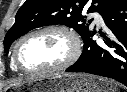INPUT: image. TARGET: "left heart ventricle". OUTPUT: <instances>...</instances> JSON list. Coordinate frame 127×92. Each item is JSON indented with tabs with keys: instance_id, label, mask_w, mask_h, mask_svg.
Here are the masks:
<instances>
[{
	"instance_id": "b2bd125f",
	"label": "left heart ventricle",
	"mask_w": 127,
	"mask_h": 92,
	"mask_svg": "<svg viewBox=\"0 0 127 92\" xmlns=\"http://www.w3.org/2000/svg\"><path fill=\"white\" fill-rule=\"evenodd\" d=\"M71 41L67 35L44 32L28 38L20 48V61L27 69L51 68L62 63L71 52Z\"/></svg>"
}]
</instances>
